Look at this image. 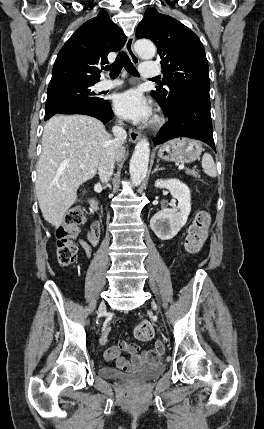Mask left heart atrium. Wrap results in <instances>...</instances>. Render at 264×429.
I'll use <instances>...</instances> for the list:
<instances>
[{
	"label": "left heart atrium",
	"mask_w": 264,
	"mask_h": 429,
	"mask_svg": "<svg viewBox=\"0 0 264 429\" xmlns=\"http://www.w3.org/2000/svg\"><path fill=\"white\" fill-rule=\"evenodd\" d=\"M115 112L122 118L139 122L150 117L152 109L137 90L120 93L114 100Z\"/></svg>",
	"instance_id": "39dd6f15"
}]
</instances>
